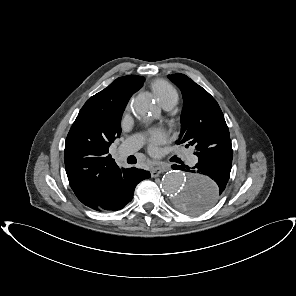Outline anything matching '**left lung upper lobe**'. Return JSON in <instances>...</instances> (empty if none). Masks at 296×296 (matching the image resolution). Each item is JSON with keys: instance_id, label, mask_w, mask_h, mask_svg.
<instances>
[{"instance_id": "5c2ea615", "label": "left lung upper lobe", "mask_w": 296, "mask_h": 296, "mask_svg": "<svg viewBox=\"0 0 296 296\" xmlns=\"http://www.w3.org/2000/svg\"><path fill=\"white\" fill-rule=\"evenodd\" d=\"M181 90L184 106L181 116L179 143L195 147L198 157L216 151L220 144L231 141L223 113L216 100L184 74L168 75ZM201 197V196H200ZM182 209L187 211V203Z\"/></svg>"}]
</instances>
